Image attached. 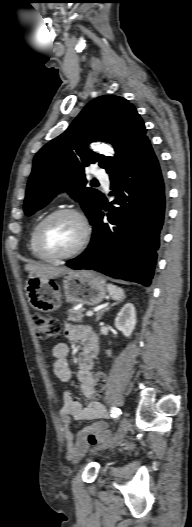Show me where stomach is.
I'll use <instances>...</instances> for the list:
<instances>
[{"label":"stomach","instance_id":"obj_1","mask_svg":"<svg viewBox=\"0 0 192 527\" xmlns=\"http://www.w3.org/2000/svg\"><path fill=\"white\" fill-rule=\"evenodd\" d=\"M67 302L96 305L106 295L104 279L91 270L68 272L62 284L57 285L50 278L30 276L26 282V292L31 307L41 312H52L62 305V292Z\"/></svg>","mask_w":192,"mask_h":527}]
</instances>
